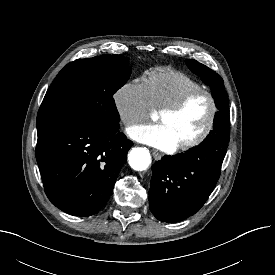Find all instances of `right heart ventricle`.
Here are the masks:
<instances>
[{
    "label": "right heart ventricle",
    "mask_w": 275,
    "mask_h": 275,
    "mask_svg": "<svg viewBox=\"0 0 275 275\" xmlns=\"http://www.w3.org/2000/svg\"><path fill=\"white\" fill-rule=\"evenodd\" d=\"M153 109L168 106L187 92L202 88L201 84L188 74L173 69H156L144 79Z\"/></svg>",
    "instance_id": "1"
}]
</instances>
